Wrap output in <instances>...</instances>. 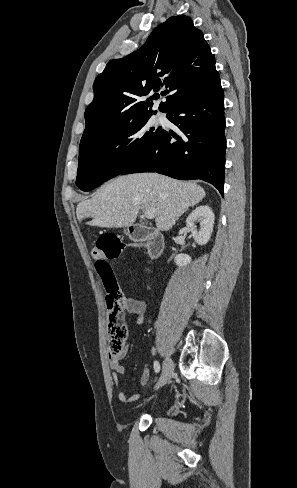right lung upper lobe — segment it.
<instances>
[{
	"label": "right lung upper lobe",
	"instance_id": "obj_1",
	"mask_svg": "<svg viewBox=\"0 0 297 488\" xmlns=\"http://www.w3.org/2000/svg\"><path fill=\"white\" fill-rule=\"evenodd\" d=\"M219 77L215 57L190 17L174 16L160 24L137 51L108 62L93 84L94 100L85 111L81 139L94 138L153 113L144 96L165 89L159 106L168 113L183 99ZM165 94V95H166Z\"/></svg>",
	"mask_w": 297,
	"mask_h": 488
}]
</instances>
